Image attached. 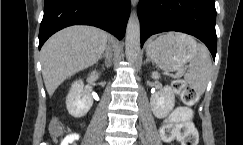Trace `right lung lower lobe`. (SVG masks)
<instances>
[{
    "label": "right lung lower lobe",
    "mask_w": 243,
    "mask_h": 145,
    "mask_svg": "<svg viewBox=\"0 0 243 145\" xmlns=\"http://www.w3.org/2000/svg\"><path fill=\"white\" fill-rule=\"evenodd\" d=\"M129 14L130 0H45L39 49L52 34L75 24L96 26L122 39Z\"/></svg>",
    "instance_id": "obj_1"
}]
</instances>
